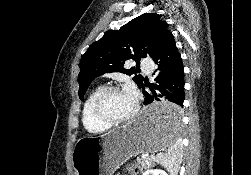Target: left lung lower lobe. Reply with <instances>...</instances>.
<instances>
[{
  "label": "left lung lower lobe",
  "mask_w": 251,
  "mask_h": 175,
  "mask_svg": "<svg viewBox=\"0 0 251 175\" xmlns=\"http://www.w3.org/2000/svg\"><path fill=\"white\" fill-rule=\"evenodd\" d=\"M152 59L158 69L153 73L155 83L150 86L151 92H146L143 87L144 104L155 101L167 103L147 110L142 115V121L148 125L177 124L183 118L181 108L184 102V70L171 32Z\"/></svg>",
  "instance_id": "obj_1"
}]
</instances>
